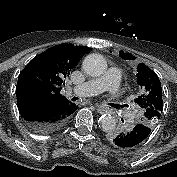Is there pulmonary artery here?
<instances>
[{
	"label": "pulmonary artery",
	"mask_w": 177,
	"mask_h": 177,
	"mask_svg": "<svg viewBox=\"0 0 177 177\" xmlns=\"http://www.w3.org/2000/svg\"><path fill=\"white\" fill-rule=\"evenodd\" d=\"M122 77V73L117 67H110L107 72L99 77L92 80H89L81 85L75 86L72 89V93L84 97V96H93L99 94L105 90H109L114 94L111 99H119V83Z\"/></svg>",
	"instance_id": "pulmonary-artery-1"
}]
</instances>
